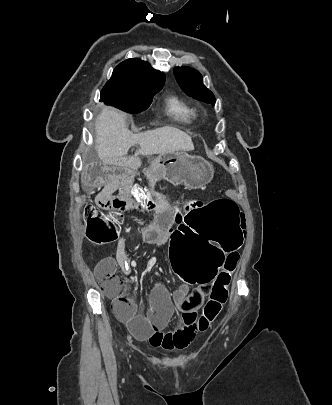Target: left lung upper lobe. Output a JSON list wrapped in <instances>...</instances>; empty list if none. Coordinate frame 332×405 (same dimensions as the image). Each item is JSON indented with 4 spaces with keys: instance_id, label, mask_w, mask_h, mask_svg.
<instances>
[{
    "instance_id": "obj_1",
    "label": "left lung upper lobe",
    "mask_w": 332,
    "mask_h": 405,
    "mask_svg": "<svg viewBox=\"0 0 332 405\" xmlns=\"http://www.w3.org/2000/svg\"><path fill=\"white\" fill-rule=\"evenodd\" d=\"M174 75L182 90L189 96L206 103L215 104L213 93L203 85L201 74L188 67H177Z\"/></svg>"
}]
</instances>
